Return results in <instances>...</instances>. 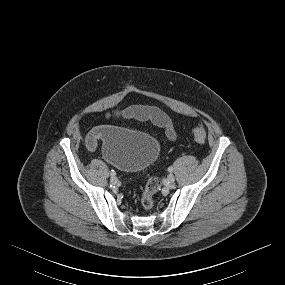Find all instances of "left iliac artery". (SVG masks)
I'll use <instances>...</instances> for the list:
<instances>
[{
  "mask_svg": "<svg viewBox=\"0 0 285 285\" xmlns=\"http://www.w3.org/2000/svg\"><path fill=\"white\" fill-rule=\"evenodd\" d=\"M168 171H169V172H172V171H173V167H169V168H168Z\"/></svg>",
  "mask_w": 285,
  "mask_h": 285,
  "instance_id": "1",
  "label": "left iliac artery"
}]
</instances>
